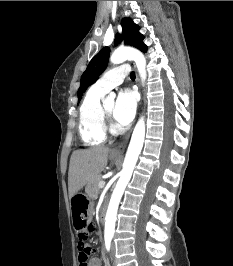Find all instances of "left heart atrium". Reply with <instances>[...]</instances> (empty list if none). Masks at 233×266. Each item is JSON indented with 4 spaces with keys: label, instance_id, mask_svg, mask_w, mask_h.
<instances>
[{
    "label": "left heart atrium",
    "instance_id": "left-heart-atrium-1",
    "mask_svg": "<svg viewBox=\"0 0 233 266\" xmlns=\"http://www.w3.org/2000/svg\"><path fill=\"white\" fill-rule=\"evenodd\" d=\"M137 108V97L136 94L125 89L119 93L116 100L114 109V119L117 124L125 126L128 125L134 118Z\"/></svg>",
    "mask_w": 233,
    "mask_h": 266
}]
</instances>
